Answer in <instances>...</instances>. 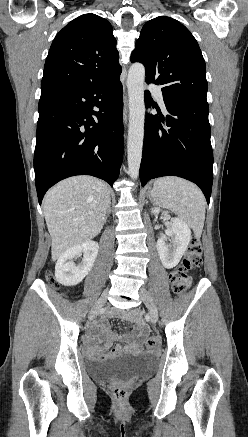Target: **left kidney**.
I'll use <instances>...</instances> for the list:
<instances>
[{"label":"left kidney","mask_w":248,"mask_h":437,"mask_svg":"<svg viewBox=\"0 0 248 437\" xmlns=\"http://www.w3.org/2000/svg\"><path fill=\"white\" fill-rule=\"evenodd\" d=\"M151 212L157 215L160 209L152 208ZM168 238H171L170 243L167 242ZM190 240V228L183 221L175 218L171 227L165 231V235L157 240L156 247L162 265L167 269L175 267L188 248Z\"/></svg>","instance_id":"left-kidney-1"}]
</instances>
